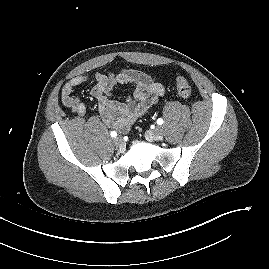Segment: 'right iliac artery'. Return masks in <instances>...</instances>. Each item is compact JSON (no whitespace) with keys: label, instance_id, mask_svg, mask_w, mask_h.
Masks as SVG:
<instances>
[{"label":"right iliac artery","instance_id":"right-iliac-artery-1","mask_svg":"<svg viewBox=\"0 0 269 269\" xmlns=\"http://www.w3.org/2000/svg\"><path fill=\"white\" fill-rule=\"evenodd\" d=\"M110 135H111L112 137H116V136H117V132H116V131H111Z\"/></svg>","mask_w":269,"mask_h":269}]
</instances>
